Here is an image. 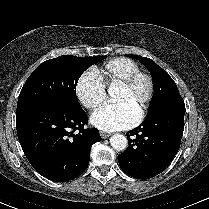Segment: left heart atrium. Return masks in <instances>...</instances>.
<instances>
[{"label": "left heart atrium", "instance_id": "left-heart-atrium-1", "mask_svg": "<svg viewBox=\"0 0 209 209\" xmlns=\"http://www.w3.org/2000/svg\"><path fill=\"white\" fill-rule=\"evenodd\" d=\"M138 113L126 101L107 104L91 116V124L103 131H117L132 127Z\"/></svg>", "mask_w": 209, "mask_h": 209}]
</instances>
